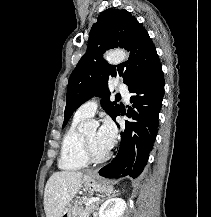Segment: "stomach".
<instances>
[{"instance_id": "stomach-1", "label": "stomach", "mask_w": 211, "mask_h": 217, "mask_svg": "<svg viewBox=\"0 0 211 217\" xmlns=\"http://www.w3.org/2000/svg\"><path fill=\"white\" fill-rule=\"evenodd\" d=\"M83 183L87 189L93 192L109 193L113 190V187L101 179L95 172H89L84 175ZM74 208L75 206L72 203L67 204L60 217H74Z\"/></svg>"}]
</instances>
